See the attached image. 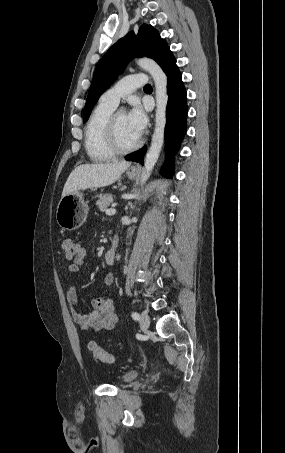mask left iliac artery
<instances>
[{
    "label": "left iliac artery",
    "mask_w": 285,
    "mask_h": 453,
    "mask_svg": "<svg viewBox=\"0 0 285 453\" xmlns=\"http://www.w3.org/2000/svg\"><path fill=\"white\" fill-rule=\"evenodd\" d=\"M131 316H132V318H133L134 320H139V319H140V316H139V314H138L137 312H133V313L131 314Z\"/></svg>",
    "instance_id": "left-iliac-artery-1"
}]
</instances>
